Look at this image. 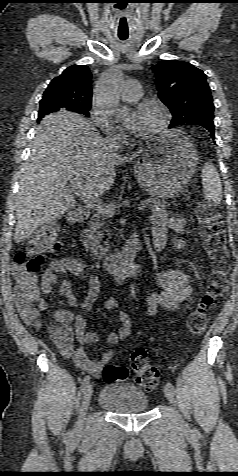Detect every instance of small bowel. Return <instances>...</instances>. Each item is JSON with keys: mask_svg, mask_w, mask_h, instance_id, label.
Wrapping results in <instances>:
<instances>
[{"mask_svg": "<svg viewBox=\"0 0 238 476\" xmlns=\"http://www.w3.org/2000/svg\"><path fill=\"white\" fill-rule=\"evenodd\" d=\"M150 225L153 233L154 250L161 251L167 242L168 230L183 233L186 230V222L178 216H168L164 213H155L150 218ZM177 248L183 246V241L175 239ZM136 267V266H135ZM134 272L117 276L119 281H123ZM72 274L85 278L88 283V292L82 301H79L71 290L68 275ZM155 281L161 288L160 292L151 293L146 298L147 312L154 315L158 309L167 311L179 308L192 294L189 276L180 270H168L155 275ZM58 289L61 296L67 301L72 309L89 311L93 308L100 294V286L97 278L89 271L86 264L75 257H62L49 263L41 274L40 291L43 294H51ZM41 309L45 308V303L39 300ZM119 301L115 296L108 298L104 304L107 311L118 307ZM55 325L52 328L51 336L58 346L61 354L73 360L77 368L86 371L94 377H100L106 364L112 359L113 351H104L100 360H92L87 351V345L96 342L100 335L95 331L86 330V320L73 310H59L54 314ZM119 329L110 332L106 337V342L110 345L117 344L127 338L131 333L130 316L123 312L119 315ZM77 344V345H76Z\"/></svg>", "mask_w": 238, "mask_h": 476, "instance_id": "c3829d8e", "label": "small bowel"}]
</instances>
